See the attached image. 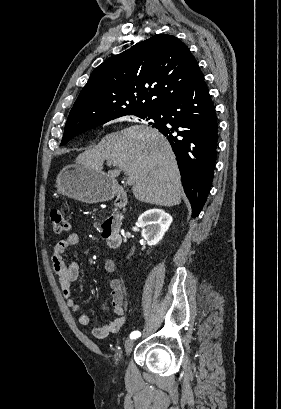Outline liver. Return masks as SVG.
<instances>
[{"label": "liver", "instance_id": "obj_1", "mask_svg": "<svg viewBox=\"0 0 281 409\" xmlns=\"http://www.w3.org/2000/svg\"><path fill=\"white\" fill-rule=\"evenodd\" d=\"M103 160L118 166L106 172L111 180H116L121 170L133 176L132 192L137 200L158 207L180 205L183 186L179 168L167 138L158 128L133 124L111 132L76 158L78 164L100 172Z\"/></svg>", "mask_w": 281, "mask_h": 409}]
</instances>
